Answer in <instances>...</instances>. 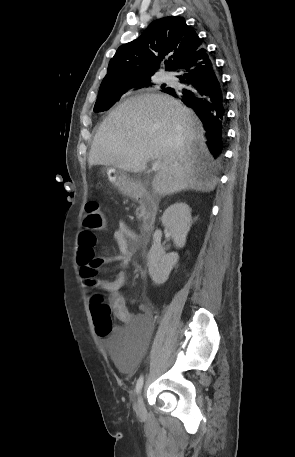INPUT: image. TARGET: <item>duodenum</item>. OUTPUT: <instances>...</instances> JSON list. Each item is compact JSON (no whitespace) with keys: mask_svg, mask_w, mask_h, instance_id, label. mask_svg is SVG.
Listing matches in <instances>:
<instances>
[{"mask_svg":"<svg viewBox=\"0 0 295 457\" xmlns=\"http://www.w3.org/2000/svg\"><path fill=\"white\" fill-rule=\"evenodd\" d=\"M131 196L141 206V225H140V238L142 243H146L154 230L156 216H157V205L151 195L143 187H135Z\"/></svg>","mask_w":295,"mask_h":457,"instance_id":"duodenum-1","label":"duodenum"}]
</instances>
